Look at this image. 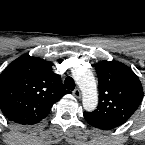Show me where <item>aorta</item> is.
Instances as JSON below:
<instances>
[{"mask_svg": "<svg viewBox=\"0 0 145 145\" xmlns=\"http://www.w3.org/2000/svg\"><path fill=\"white\" fill-rule=\"evenodd\" d=\"M74 79L82 91V104L85 110L93 111L98 104L97 84L93 73L84 67L76 69Z\"/></svg>", "mask_w": 145, "mask_h": 145, "instance_id": "762f6f07", "label": "aorta"}]
</instances>
